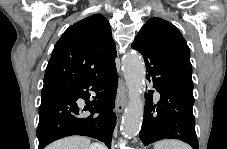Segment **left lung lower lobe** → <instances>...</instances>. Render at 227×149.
I'll list each match as a JSON object with an SVG mask.
<instances>
[{
  "label": "left lung lower lobe",
  "instance_id": "obj_1",
  "mask_svg": "<svg viewBox=\"0 0 227 149\" xmlns=\"http://www.w3.org/2000/svg\"><path fill=\"white\" fill-rule=\"evenodd\" d=\"M131 47L146 64V78L160 93L158 101L148 91L140 140L148 145L161 139H179L199 149L195 132L193 82L180 73L157 49L145 32H139Z\"/></svg>",
  "mask_w": 227,
  "mask_h": 149
}]
</instances>
